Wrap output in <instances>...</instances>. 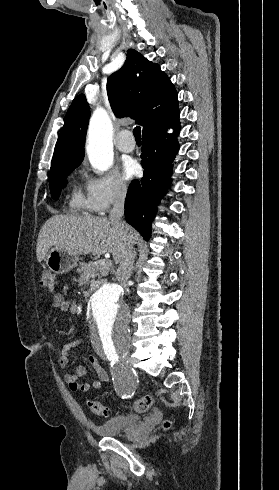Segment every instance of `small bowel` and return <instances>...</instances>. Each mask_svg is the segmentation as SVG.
<instances>
[{
  "label": "small bowel",
  "mask_w": 279,
  "mask_h": 490,
  "mask_svg": "<svg viewBox=\"0 0 279 490\" xmlns=\"http://www.w3.org/2000/svg\"><path fill=\"white\" fill-rule=\"evenodd\" d=\"M51 307L57 309L59 312H68L71 308V304L68 300L63 298L60 294L53 297ZM82 344L81 339H74L68 343L62 345L58 358L59 365L65 368L70 363V352L73 348ZM89 365L95 372L97 379H94L90 384L82 383L80 380L86 375V368L84 366H77L73 372L66 373L64 379L69 387L74 392H86L89 389H99L102 383L107 382L109 379L107 371L100 365L98 359L94 356H90L88 359Z\"/></svg>",
  "instance_id": "1"
}]
</instances>
